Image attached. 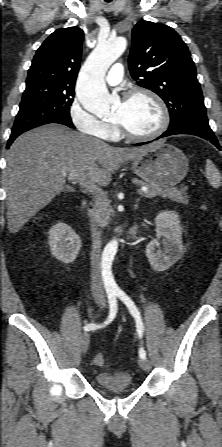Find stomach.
Instances as JSON below:
<instances>
[{
  "mask_svg": "<svg viewBox=\"0 0 222 447\" xmlns=\"http://www.w3.org/2000/svg\"><path fill=\"white\" fill-rule=\"evenodd\" d=\"M145 147V152L132 160V169L146 183L169 188L186 176L188 159L180 149L162 142Z\"/></svg>",
  "mask_w": 222,
  "mask_h": 447,
  "instance_id": "stomach-1",
  "label": "stomach"
}]
</instances>
